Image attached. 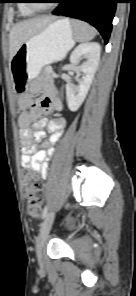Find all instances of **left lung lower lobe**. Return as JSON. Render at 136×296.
Wrapping results in <instances>:
<instances>
[{
    "label": "left lung lower lobe",
    "instance_id": "1",
    "mask_svg": "<svg viewBox=\"0 0 136 296\" xmlns=\"http://www.w3.org/2000/svg\"><path fill=\"white\" fill-rule=\"evenodd\" d=\"M119 0H61V5L52 12L81 19L92 24L108 43L116 4Z\"/></svg>",
    "mask_w": 136,
    "mask_h": 296
}]
</instances>
